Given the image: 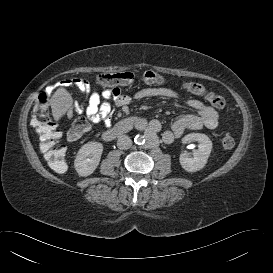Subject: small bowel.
Returning <instances> with one entry per match:
<instances>
[{
    "label": "small bowel",
    "mask_w": 273,
    "mask_h": 273,
    "mask_svg": "<svg viewBox=\"0 0 273 273\" xmlns=\"http://www.w3.org/2000/svg\"><path fill=\"white\" fill-rule=\"evenodd\" d=\"M190 83L187 82L183 87L192 94ZM62 86H72L86 95L85 105L74 104V110L78 113H84L93 123L104 122L106 125L111 123L113 106L123 107L131 102V98L125 95L117 87L94 90L88 80L83 78H72L60 81ZM203 86V85H202ZM205 88V87H204ZM134 97L136 99L145 98H180L178 91L170 87H146L138 90ZM205 97V96H204ZM187 106L196 110L197 113H188L179 117L170 129L162 133V139L165 143H171L187 130H199L202 128L215 129L218 126L217 111L198 99H189ZM161 129L158 121H151L149 124V133L156 135Z\"/></svg>",
    "instance_id": "obj_1"
}]
</instances>
